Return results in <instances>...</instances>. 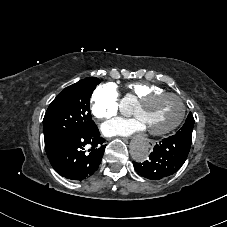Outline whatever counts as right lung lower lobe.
Instances as JSON below:
<instances>
[{
  "label": "right lung lower lobe",
  "instance_id": "obj_1",
  "mask_svg": "<svg viewBox=\"0 0 227 227\" xmlns=\"http://www.w3.org/2000/svg\"><path fill=\"white\" fill-rule=\"evenodd\" d=\"M104 141L94 124L57 137L45 144V150L52 167L61 176L82 180L98 169L106 146Z\"/></svg>",
  "mask_w": 227,
  "mask_h": 227
}]
</instances>
